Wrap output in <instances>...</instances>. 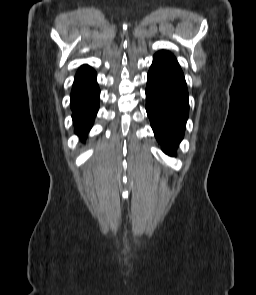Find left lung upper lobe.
<instances>
[{"mask_svg":"<svg viewBox=\"0 0 256 295\" xmlns=\"http://www.w3.org/2000/svg\"><path fill=\"white\" fill-rule=\"evenodd\" d=\"M154 61L164 62L167 64L174 65L176 67H179V64L172 53L168 51H159L154 55ZM180 68V67H179Z\"/></svg>","mask_w":256,"mask_h":295,"instance_id":"left-lung-upper-lobe-1","label":"left lung upper lobe"}]
</instances>
